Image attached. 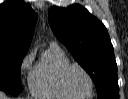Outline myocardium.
Masks as SVG:
<instances>
[{
    "label": "myocardium",
    "instance_id": "1",
    "mask_svg": "<svg viewBox=\"0 0 128 99\" xmlns=\"http://www.w3.org/2000/svg\"><path fill=\"white\" fill-rule=\"evenodd\" d=\"M73 67H76V68L80 69L85 74V76L87 77V79L89 81V86H90L89 92L84 96H77V95L72 94L68 90V88H67V86L65 84L66 73L68 72V70L70 68H73ZM58 80H59V85H60V88L62 89V91L64 93H66L68 96L72 97V98H75V99H86V98H89L93 94V91H94L93 79H92L90 73L82 65H80L78 63L69 62L65 66H63L62 69L59 72Z\"/></svg>",
    "mask_w": 128,
    "mask_h": 99
}]
</instances>
